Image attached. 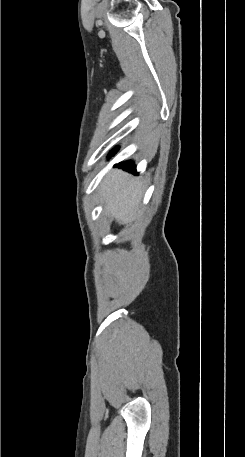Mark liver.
Returning <instances> with one entry per match:
<instances>
[{
	"instance_id": "1",
	"label": "liver",
	"mask_w": 245,
	"mask_h": 457,
	"mask_svg": "<svg viewBox=\"0 0 245 457\" xmlns=\"http://www.w3.org/2000/svg\"><path fill=\"white\" fill-rule=\"evenodd\" d=\"M141 186L140 180L130 178L127 172L119 168L111 170L100 184V194L104 196L107 214L122 224L132 222L140 212Z\"/></svg>"
}]
</instances>
